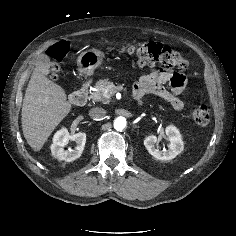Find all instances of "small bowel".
<instances>
[{"instance_id":"1","label":"small bowel","mask_w":236,"mask_h":236,"mask_svg":"<svg viewBox=\"0 0 236 236\" xmlns=\"http://www.w3.org/2000/svg\"><path fill=\"white\" fill-rule=\"evenodd\" d=\"M187 83L186 76L174 72L172 69H158L140 80L134 85V94L141 97L145 94H154L167 101L175 110H181L184 102L178 97ZM171 87V91L166 89Z\"/></svg>"}]
</instances>
